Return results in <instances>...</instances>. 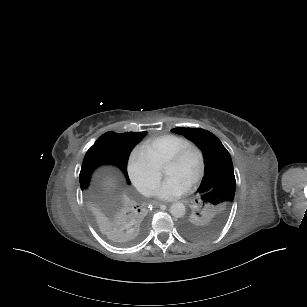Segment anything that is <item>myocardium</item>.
Segmentation results:
<instances>
[{"label":"myocardium","mask_w":307,"mask_h":307,"mask_svg":"<svg viewBox=\"0 0 307 307\" xmlns=\"http://www.w3.org/2000/svg\"><path fill=\"white\" fill-rule=\"evenodd\" d=\"M194 149H198L201 154V167L198 173L189 181V185H194L198 183L206 174L207 167H208V157H207V153L204 147L201 144L192 141L191 143L180 148L175 153L167 156L165 159V161H168V162H174V163L180 162L187 156V154L191 150H194Z\"/></svg>","instance_id":"1"}]
</instances>
